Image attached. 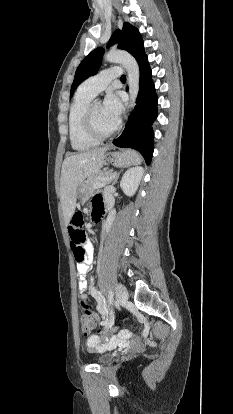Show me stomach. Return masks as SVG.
<instances>
[{"label": "stomach", "instance_id": "obj_1", "mask_svg": "<svg viewBox=\"0 0 233 414\" xmlns=\"http://www.w3.org/2000/svg\"><path fill=\"white\" fill-rule=\"evenodd\" d=\"M105 158L108 162L116 167H124L132 165L134 162L135 157L132 154L127 153L126 151L123 153L120 152H109L105 155ZM76 196L81 202H85L88 200L90 194L88 193V188L86 183H81L77 188Z\"/></svg>", "mask_w": 233, "mask_h": 414}]
</instances>
